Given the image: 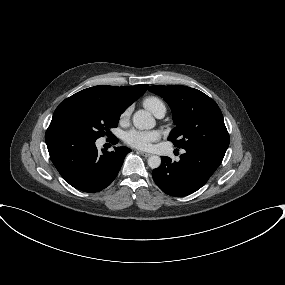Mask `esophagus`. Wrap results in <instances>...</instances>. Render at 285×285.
<instances>
[{"instance_id":"34e87169","label":"esophagus","mask_w":285,"mask_h":285,"mask_svg":"<svg viewBox=\"0 0 285 285\" xmlns=\"http://www.w3.org/2000/svg\"><path fill=\"white\" fill-rule=\"evenodd\" d=\"M139 154H141L144 157H150L151 154L150 153H146V152H142V151H138Z\"/></svg>"}]
</instances>
